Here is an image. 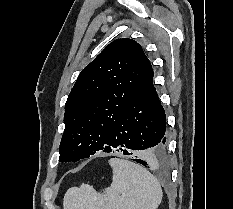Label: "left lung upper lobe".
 <instances>
[{
    "label": "left lung upper lobe",
    "instance_id": "left-lung-upper-lobe-1",
    "mask_svg": "<svg viewBox=\"0 0 233 209\" xmlns=\"http://www.w3.org/2000/svg\"><path fill=\"white\" fill-rule=\"evenodd\" d=\"M141 46L117 39L79 74L65 104L61 162H76L104 150L110 130L151 69Z\"/></svg>",
    "mask_w": 233,
    "mask_h": 209
}]
</instances>
